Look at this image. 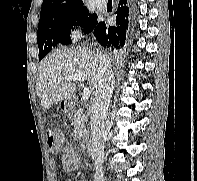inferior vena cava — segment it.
Listing matches in <instances>:
<instances>
[{"label":"inferior vena cava","instance_id":"obj_1","mask_svg":"<svg viewBox=\"0 0 197 181\" xmlns=\"http://www.w3.org/2000/svg\"><path fill=\"white\" fill-rule=\"evenodd\" d=\"M98 87L95 93V103L91 115V138L94 158V181H104V143L105 119L108 113L114 89V74L109 61L101 59L99 65Z\"/></svg>","mask_w":197,"mask_h":181}]
</instances>
